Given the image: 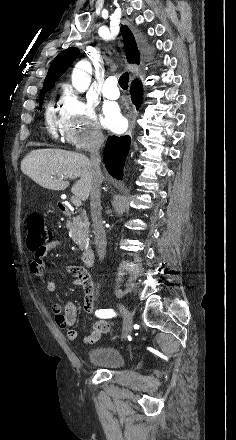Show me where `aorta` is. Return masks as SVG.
Returning a JSON list of instances; mask_svg holds the SVG:
<instances>
[{"label": "aorta", "mask_w": 236, "mask_h": 440, "mask_svg": "<svg viewBox=\"0 0 236 440\" xmlns=\"http://www.w3.org/2000/svg\"><path fill=\"white\" fill-rule=\"evenodd\" d=\"M92 67L87 60L78 62L72 72L71 81L74 88L79 92H84L91 82Z\"/></svg>", "instance_id": "1"}]
</instances>
